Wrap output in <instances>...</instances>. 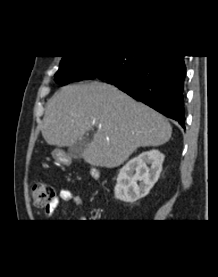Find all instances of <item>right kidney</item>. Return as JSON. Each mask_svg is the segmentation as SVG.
Segmentation results:
<instances>
[{
	"mask_svg": "<svg viewBox=\"0 0 218 277\" xmlns=\"http://www.w3.org/2000/svg\"><path fill=\"white\" fill-rule=\"evenodd\" d=\"M163 161L164 155L158 150L143 152L129 160L119 170L114 188L115 198L132 203L145 197L157 182Z\"/></svg>",
	"mask_w": 218,
	"mask_h": 277,
	"instance_id": "right-kidney-1",
	"label": "right kidney"
}]
</instances>
